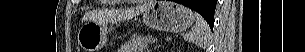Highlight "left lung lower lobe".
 Listing matches in <instances>:
<instances>
[{
  "label": "left lung lower lobe",
  "instance_id": "obj_1",
  "mask_svg": "<svg viewBox=\"0 0 305 52\" xmlns=\"http://www.w3.org/2000/svg\"><path fill=\"white\" fill-rule=\"evenodd\" d=\"M174 2L183 4L200 13H213L215 11L217 0H174ZM213 29L214 25H209Z\"/></svg>",
  "mask_w": 305,
  "mask_h": 52
}]
</instances>
